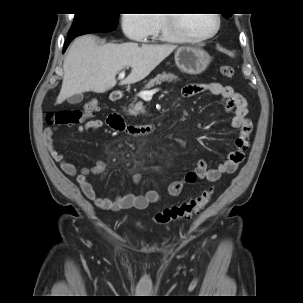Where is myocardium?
I'll return each instance as SVG.
<instances>
[{
    "instance_id": "myocardium-1",
    "label": "myocardium",
    "mask_w": 303,
    "mask_h": 303,
    "mask_svg": "<svg viewBox=\"0 0 303 303\" xmlns=\"http://www.w3.org/2000/svg\"><path fill=\"white\" fill-rule=\"evenodd\" d=\"M184 14H165L167 30L178 38L180 41L197 42L205 41L214 37L220 29L221 17L219 14H212L215 19V27L207 34L201 36H193L187 33L181 26Z\"/></svg>"
}]
</instances>
